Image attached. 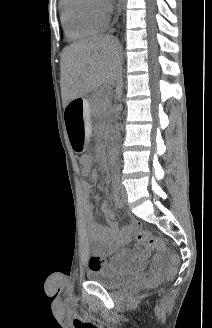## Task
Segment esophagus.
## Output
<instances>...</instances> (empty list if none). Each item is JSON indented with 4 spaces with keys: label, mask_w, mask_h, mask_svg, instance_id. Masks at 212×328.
<instances>
[{
    "label": "esophagus",
    "mask_w": 212,
    "mask_h": 328,
    "mask_svg": "<svg viewBox=\"0 0 212 328\" xmlns=\"http://www.w3.org/2000/svg\"><path fill=\"white\" fill-rule=\"evenodd\" d=\"M124 2H125V0H119V3H118V16L121 13L122 6H123Z\"/></svg>",
    "instance_id": "esophagus-1"
}]
</instances>
